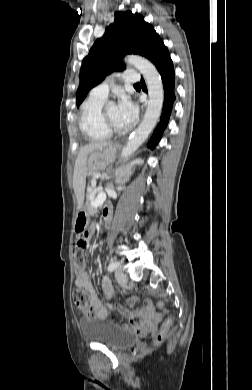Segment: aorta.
<instances>
[{"instance_id": "aorta-1", "label": "aorta", "mask_w": 252, "mask_h": 390, "mask_svg": "<svg viewBox=\"0 0 252 390\" xmlns=\"http://www.w3.org/2000/svg\"><path fill=\"white\" fill-rule=\"evenodd\" d=\"M126 61L143 75L147 84L149 100L141 124L122 150V158L129 157L147 139L160 117L164 101L161 76L155 66L147 59L136 55L128 56Z\"/></svg>"}]
</instances>
